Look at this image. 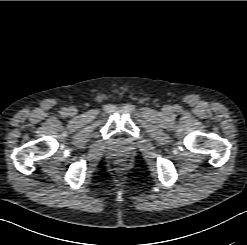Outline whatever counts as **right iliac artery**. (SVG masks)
Instances as JSON below:
<instances>
[{
	"label": "right iliac artery",
	"instance_id": "1",
	"mask_svg": "<svg viewBox=\"0 0 247 245\" xmlns=\"http://www.w3.org/2000/svg\"><path fill=\"white\" fill-rule=\"evenodd\" d=\"M61 114L62 115H66L67 114V109L66 108H63L62 111H61Z\"/></svg>",
	"mask_w": 247,
	"mask_h": 245
}]
</instances>
